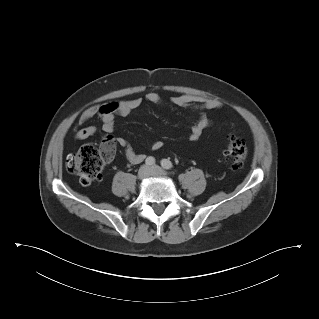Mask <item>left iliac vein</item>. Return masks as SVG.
Returning <instances> with one entry per match:
<instances>
[{
    "label": "left iliac vein",
    "instance_id": "obj_1",
    "mask_svg": "<svg viewBox=\"0 0 319 319\" xmlns=\"http://www.w3.org/2000/svg\"><path fill=\"white\" fill-rule=\"evenodd\" d=\"M151 175L152 176H167L168 173L161 167L154 165L151 167Z\"/></svg>",
    "mask_w": 319,
    "mask_h": 319
}]
</instances>
